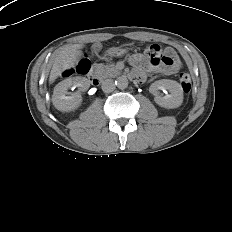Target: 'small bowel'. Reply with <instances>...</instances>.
<instances>
[{
  "mask_svg": "<svg viewBox=\"0 0 232 232\" xmlns=\"http://www.w3.org/2000/svg\"><path fill=\"white\" fill-rule=\"evenodd\" d=\"M176 59V68L180 66L177 60L176 53L173 49H166ZM130 63L135 67L134 71L130 73L129 79L131 82L139 85H144L157 77L161 73V69L157 65H153L144 54H136L130 58Z\"/></svg>",
  "mask_w": 232,
  "mask_h": 232,
  "instance_id": "small-bowel-1",
  "label": "small bowel"
}]
</instances>
